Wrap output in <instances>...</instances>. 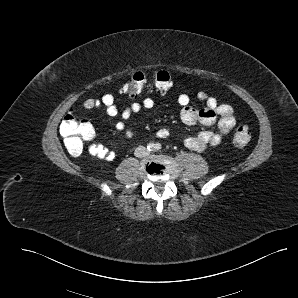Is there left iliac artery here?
Returning <instances> with one entry per match:
<instances>
[{"instance_id":"1","label":"left iliac artery","mask_w":298,"mask_h":298,"mask_svg":"<svg viewBox=\"0 0 298 298\" xmlns=\"http://www.w3.org/2000/svg\"><path fill=\"white\" fill-rule=\"evenodd\" d=\"M161 148H162V146H161L160 143L155 144V150H156V151L161 150Z\"/></svg>"}]
</instances>
